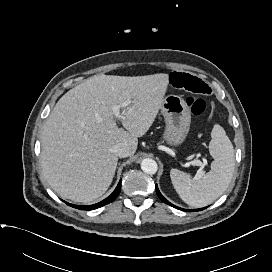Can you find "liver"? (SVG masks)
I'll list each match as a JSON object with an SVG mask.
<instances>
[{
  "instance_id": "6515ba94",
  "label": "liver",
  "mask_w": 272,
  "mask_h": 272,
  "mask_svg": "<svg viewBox=\"0 0 272 272\" xmlns=\"http://www.w3.org/2000/svg\"><path fill=\"white\" fill-rule=\"evenodd\" d=\"M169 75H94L65 93L41 133V168L62 198L89 204L109 188L118 163L112 148L125 143L133 156L138 137L153 124L164 102ZM131 103L118 128L112 106Z\"/></svg>"
}]
</instances>
